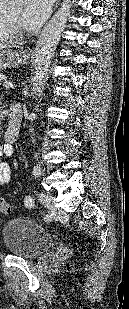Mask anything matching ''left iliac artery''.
Wrapping results in <instances>:
<instances>
[{
	"mask_svg": "<svg viewBox=\"0 0 129 309\" xmlns=\"http://www.w3.org/2000/svg\"><path fill=\"white\" fill-rule=\"evenodd\" d=\"M41 173V169H40V166L36 165L34 166V169H33V175L34 176H38L40 175ZM25 205L26 207L28 208H33L35 206V203H34V200L29 196L25 199ZM45 221H49L50 220V216L49 215H46L44 217Z\"/></svg>",
	"mask_w": 129,
	"mask_h": 309,
	"instance_id": "1",
	"label": "left iliac artery"
}]
</instances>
